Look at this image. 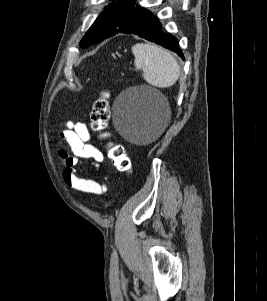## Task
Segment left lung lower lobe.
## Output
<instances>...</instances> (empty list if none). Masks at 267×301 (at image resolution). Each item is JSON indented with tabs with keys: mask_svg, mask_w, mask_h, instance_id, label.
<instances>
[{
	"mask_svg": "<svg viewBox=\"0 0 267 301\" xmlns=\"http://www.w3.org/2000/svg\"><path fill=\"white\" fill-rule=\"evenodd\" d=\"M122 33L135 34L141 38L162 45L163 47L176 52L184 59L176 37L164 32L162 24L159 22L158 18L152 14L144 21L130 27Z\"/></svg>",
	"mask_w": 267,
	"mask_h": 301,
	"instance_id": "1",
	"label": "left lung lower lobe"
}]
</instances>
